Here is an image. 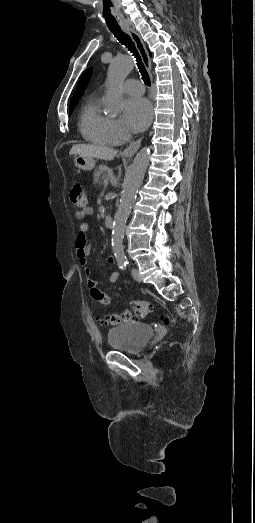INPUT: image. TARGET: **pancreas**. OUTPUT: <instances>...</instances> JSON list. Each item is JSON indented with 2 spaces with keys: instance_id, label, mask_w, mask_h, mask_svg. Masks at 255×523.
I'll list each match as a JSON object with an SVG mask.
<instances>
[{
  "instance_id": "1",
  "label": "pancreas",
  "mask_w": 255,
  "mask_h": 523,
  "mask_svg": "<svg viewBox=\"0 0 255 523\" xmlns=\"http://www.w3.org/2000/svg\"><path fill=\"white\" fill-rule=\"evenodd\" d=\"M107 172H110L107 166H99L97 170H94V182L93 184H101L102 180L106 178Z\"/></svg>"
}]
</instances>
